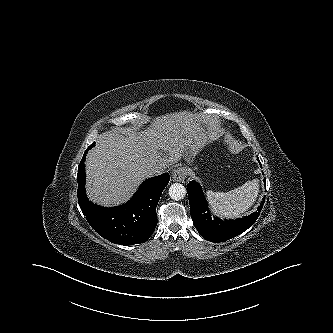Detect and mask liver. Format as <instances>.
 Here are the masks:
<instances>
[{"mask_svg": "<svg viewBox=\"0 0 333 333\" xmlns=\"http://www.w3.org/2000/svg\"><path fill=\"white\" fill-rule=\"evenodd\" d=\"M197 114L183 111L156 117L142 132L120 128L99 135L86 157V193L104 207L127 202L148 177V167L163 169L182 157H195L206 144Z\"/></svg>", "mask_w": 333, "mask_h": 333, "instance_id": "6515ba94", "label": "liver"}]
</instances>
